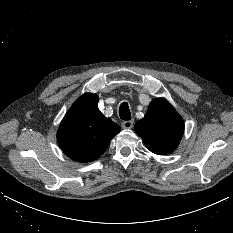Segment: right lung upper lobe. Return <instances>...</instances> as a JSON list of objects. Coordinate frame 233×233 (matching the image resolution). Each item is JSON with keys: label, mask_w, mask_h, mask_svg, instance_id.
Listing matches in <instances>:
<instances>
[{"label": "right lung upper lobe", "mask_w": 233, "mask_h": 233, "mask_svg": "<svg viewBox=\"0 0 233 233\" xmlns=\"http://www.w3.org/2000/svg\"><path fill=\"white\" fill-rule=\"evenodd\" d=\"M98 96L86 93L81 96L63 118L57 140L71 159L91 162L107 149L120 127L106 118L98 108Z\"/></svg>", "instance_id": "obj_1"}]
</instances>
